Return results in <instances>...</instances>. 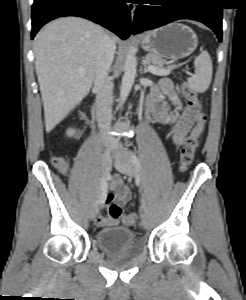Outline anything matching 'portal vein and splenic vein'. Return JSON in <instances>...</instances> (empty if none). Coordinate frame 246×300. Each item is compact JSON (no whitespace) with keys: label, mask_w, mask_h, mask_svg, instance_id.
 <instances>
[{"label":"portal vein and splenic vein","mask_w":246,"mask_h":300,"mask_svg":"<svg viewBox=\"0 0 246 300\" xmlns=\"http://www.w3.org/2000/svg\"><path fill=\"white\" fill-rule=\"evenodd\" d=\"M149 71L155 75H159V76H167L170 74V70H167V69H158L152 65H150L148 67ZM188 75H190L189 72H187Z\"/></svg>","instance_id":"18ae733b"}]
</instances>
